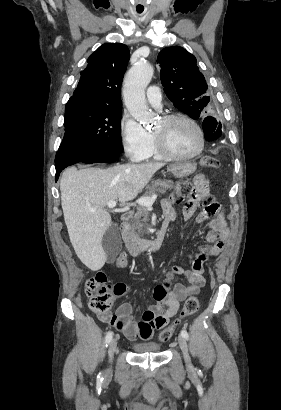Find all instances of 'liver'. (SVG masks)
<instances>
[{"mask_svg": "<svg viewBox=\"0 0 281 410\" xmlns=\"http://www.w3.org/2000/svg\"><path fill=\"white\" fill-rule=\"evenodd\" d=\"M163 166L155 162L108 169L69 167L63 172L60 192L64 220L75 253L90 270L98 271L106 262L102 239L111 226L108 202L132 200Z\"/></svg>", "mask_w": 281, "mask_h": 410, "instance_id": "liver-1", "label": "liver"}]
</instances>
